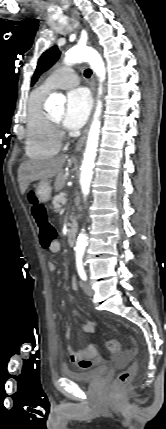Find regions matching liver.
Segmentation results:
<instances>
[{
    "mask_svg": "<svg viewBox=\"0 0 166 429\" xmlns=\"http://www.w3.org/2000/svg\"><path fill=\"white\" fill-rule=\"evenodd\" d=\"M68 159L67 155L58 156L49 160H27L18 169V182L21 194H24L30 183L47 181L56 177L55 189L59 191L65 184L63 166Z\"/></svg>",
    "mask_w": 166,
    "mask_h": 429,
    "instance_id": "1",
    "label": "liver"
}]
</instances>
